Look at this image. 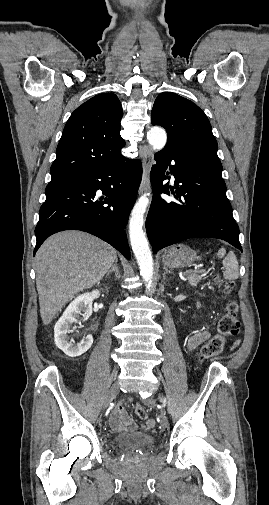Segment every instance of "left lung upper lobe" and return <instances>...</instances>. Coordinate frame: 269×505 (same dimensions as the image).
Listing matches in <instances>:
<instances>
[{
  "instance_id": "obj_1",
  "label": "left lung upper lobe",
  "mask_w": 269,
  "mask_h": 505,
  "mask_svg": "<svg viewBox=\"0 0 269 505\" xmlns=\"http://www.w3.org/2000/svg\"><path fill=\"white\" fill-rule=\"evenodd\" d=\"M151 118L153 125H160L167 131L165 148L169 142H179L220 161L210 122L192 101L173 92H163L155 100Z\"/></svg>"
}]
</instances>
